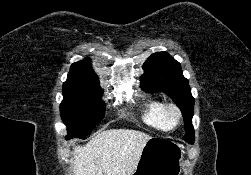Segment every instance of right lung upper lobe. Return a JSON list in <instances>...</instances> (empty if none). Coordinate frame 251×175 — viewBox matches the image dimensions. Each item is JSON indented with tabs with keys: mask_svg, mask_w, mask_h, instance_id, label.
<instances>
[{
	"mask_svg": "<svg viewBox=\"0 0 251 175\" xmlns=\"http://www.w3.org/2000/svg\"><path fill=\"white\" fill-rule=\"evenodd\" d=\"M63 85L100 88L99 79L92 69L89 59L73 63Z\"/></svg>",
	"mask_w": 251,
	"mask_h": 175,
	"instance_id": "right-lung-upper-lobe-1",
	"label": "right lung upper lobe"
}]
</instances>
